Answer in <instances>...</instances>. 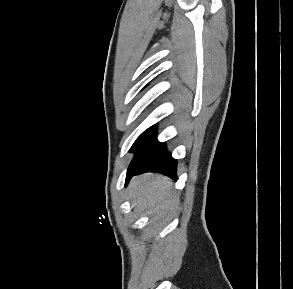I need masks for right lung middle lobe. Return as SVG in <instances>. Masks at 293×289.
I'll list each match as a JSON object with an SVG mask.
<instances>
[{
  "label": "right lung middle lobe",
  "mask_w": 293,
  "mask_h": 289,
  "mask_svg": "<svg viewBox=\"0 0 293 289\" xmlns=\"http://www.w3.org/2000/svg\"><path fill=\"white\" fill-rule=\"evenodd\" d=\"M155 129V126L150 127L149 129H147L145 132H143L135 141V143L133 144V146L137 145L138 143H140L142 140H144L153 130ZM132 146V147H133Z\"/></svg>",
  "instance_id": "1"
}]
</instances>
